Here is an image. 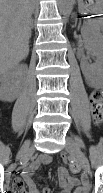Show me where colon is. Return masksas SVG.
<instances>
[{"mask_svg":"<svg viewBox=\"0 0 103 193\" xmlns=\"http://www.w3.org/2000/svg\"><path fill=\"white\" fill-rule=\"evenodd\" d=\"M90 110L93 119L99 123L103 118V90L101 88H96L90 93ZM70 170L73 173H79L81 167L77 162L70 163Z\"/></svg>","mask_w":103,"mask_h":193,"instance_id":"1","label":"colon"}]
</instances>
